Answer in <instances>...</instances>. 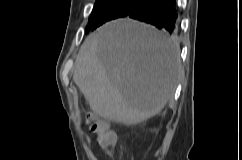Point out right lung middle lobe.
I'll list each match as a JSON object with an SVG mask.
<instances>
[{
	"label": "right lung middle lobe",
	"mask_w": 242,
	"mask_h": 160,
	"mask_svg": "<svg viewBox=\"0 0 242 160\" xmlns=\"http://www.w3.org/2000/svg\"><path fill=\"white\" fill-rule=\"evenodd\" d=\"M146 0H97L85 33L95 30L105 22L126 16L132 9Z\"/></svg>",
	"instance_id": "1"
}]
</instances>
